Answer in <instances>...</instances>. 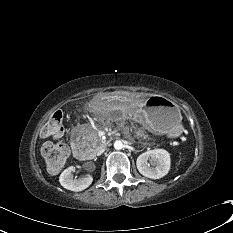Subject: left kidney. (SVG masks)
<instances>
[{
	"label": "left kidney",
	"mask_w": 233,
	"mask_h": 233,
	"mask_svg": "<svg viewBox=\"0 0 233 233\" xmlns=\"http://www.w3.org/2000/svg\"><path fill=\"white\" fill-rule=\"evenodd\" d=\"M136 165L143 176L159 179L170 170V154L164 149L149 150L138 156Z\"/></svg>",
	"instance_id": "1"
}]
</instances>
